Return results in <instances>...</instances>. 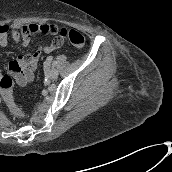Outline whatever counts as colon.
<instances>
[{
    "instance_id": "1",
    "label": "colon",
    "mask_w": 172,
    "mask_h": 172,
    "mask_svg": "<svg viewBox=\"0 0 172 172\" xmlns=\"http://www.w3.org/2000/svg\"><path fill=\"white\" fill-rule=\"evenodd\" d=\"M38 30L43 32H50L52 34H59L60 37L68 40L73 46L78 48L83 47L85 44V38L80 32L67 28L57 29L55 26H51V25L40 26L36 24H31L28 26H24L21 30L23 39L24 40L29 39L31 35ZM12 71H14L15 73L16 70H12ZM13 85H14V79L12 75L8 74V75H4L3 77H0L1 98L3 99L4 103L8 106L12 114L21 116V112L18 109L12 96Z\"/></svg>"
}]
</instances>
